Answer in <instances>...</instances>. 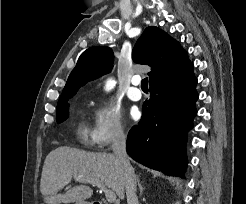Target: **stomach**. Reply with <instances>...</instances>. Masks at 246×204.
Wrapping results in <instances>:
<instances>
[{
  "mask_svg": "<svg viewBox=\"0 0 246 204\" xmlns=\"http://www.w3.org/2000/svg\"><path fill=\"white\" fill-rule=\"evenodd\" d=\"M81 204H89V203H87V202H83V203H81Z\"/></svg>",
  "mask_w": 246,
  "mask_h": 204,
  "instance_id": "1",
  "label": "stomach"
}]
</instances>
